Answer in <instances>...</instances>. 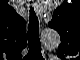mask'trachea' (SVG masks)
<instances>
[{"label": "trachea", "instance_id": "trachea-1", "mask_svg": "<svg viewBox=\"0 0 80 60\" xmlns=\"http://www.w3.org/2000/svg\"><path fill=\"white\" fill-rule=\"evenodd\" d=\"M29 54L33 56L41 55V42L39 39V22L34 9L30 8V20L28 25Z\"/></svg>", "mask_w": 80, "mask_h": 60}]
</instances>
